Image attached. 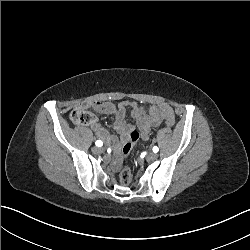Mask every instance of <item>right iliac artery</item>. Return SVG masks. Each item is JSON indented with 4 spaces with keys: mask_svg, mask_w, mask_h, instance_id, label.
I'll use <instances>...</instances> for the list:
<instances>
[{
    "mask_svg": "<svg viewBox=\"0 0 250 250\" xmlns=\"http://www.w3.org/2000/svg\"><path fill=\"white\" fill-rule=\"evenodd\" d=\"M96 146L101 147L103 145V142L101 140L96 141Z\"/></svg>",
    "mask_w": 250,
    "mask_h": 250,
    "instance_id": "82829eb1",
    "label": "right iliac artery"
}]
</instances>
